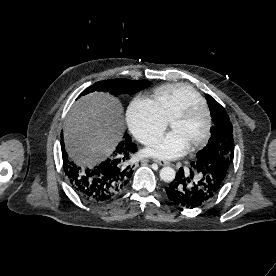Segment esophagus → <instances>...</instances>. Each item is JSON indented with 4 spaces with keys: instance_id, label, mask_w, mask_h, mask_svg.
Instances as JSON below:
<instances>
[{
    "instance_id": "34e87169",
    "label": "esophagus",
    "mask_w": 276,
    "mask_h": 276,
    "mask_svg": "<svg viewBox=\"0 0 276 276\" xmlns=\"http://www.w3.org/2000/svg\"><path fill=\"white\" fill-rule=\"evenodd\" d=\"M155 163L161 165V166H165V165H169L170 163L168 161H164V160H158V159H155L154 160Z\"/></svg>"
}]
</instances>
